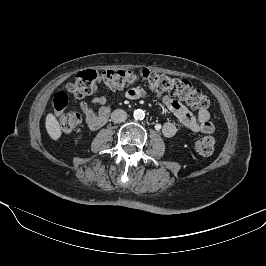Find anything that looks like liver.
I'll use <instances>...</instances> for the list:
<instances>
[{"label":"liver","mask_w":266,"mask_h":266,"mask_svg":"<svg viewBox=\"0 0 266 266\" xmlns=\"http://www.w3.org/2000/svg\"><path fill=\"white\" fill-rule=\"evenodd\" d=\"M47 133L53 140H58L61 137V127L56 117L49 113L45 119Z\"/></svg>","instance_id":"1"}]
</instances>
